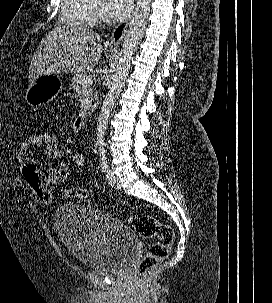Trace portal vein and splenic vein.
<instances>
[{"label":"portal vein and splenic vein","instance_id":"portal-vein-and-splenic-vein-1","mask_svg":"<svg viewBox=\"0 0 272 303\" xmlns=\"http://www.w3.org/2000/svg\"><path fill=\"white\" fill-rule=\"evenodd\" d=\"M91 84H92V77L86 76L82 79V86L83 87H86V86L91 85Z\"/></svg>","mask_w":272,"mask_h":303}]
</instances>
